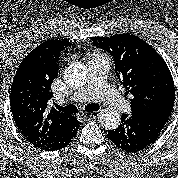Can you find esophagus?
<instances>
[{
  "mask_svg": "<svg viewBox=\"0 0 178 178\" xmlns=\"http://www.w3.org/2000/svg\"><path fill=\"white\" fill-rule=\"evenodd\" d=\"M100 112L99 111H94V112H86V113H82L80 116L83 118H87V117H97L99 116Z\"/></svg>",
  "mask_w": 178,
  "mask_h": 178,
  "instance_id": "obj_1",
  "label": "esophagus"
}]
</instances>
